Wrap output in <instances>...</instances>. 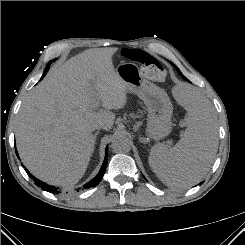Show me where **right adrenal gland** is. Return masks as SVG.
I'll return each mask as SVG.
<instances>
[{
	"instance_id": "2a0ac1e0",
	"label": "right adrenal gland",
	"mask_w": 245,
	"mask_h": 245,
	"mask_svg": "<svg viewBox=\"0 0 245 245\" xmlns=\"http://www.w3.org/2000/svg\"><path fill=\"white\" fill-rule=\"evenodd\" d=\"M99 134V132H96L95 134H94V142H96V139H97V135Z\"/></svg>"
}]
</instances>
